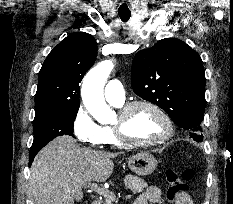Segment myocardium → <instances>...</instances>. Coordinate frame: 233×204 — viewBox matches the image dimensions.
<instances>
[{
    "instance_id": "f54148a6",
    "label": "myocardium",
    "mask_w": 233,
    "mask_h": 204,
    "mask_svg": "<svg viewBox=\"0 0 233 204\" xmlns=\"http://www.w3.org/2000/svg\"><path fill=\"white\" fill-rule=\"evenodd\" d=\"M138 107H146L153 110L163 120L166 126L165 134L157 140L152 141H138L131 139L125 132V125L129 115ZM117 121L112 125V129L118 141L122 145L137 146V147H151L161 145L173 136L174 127L169 115L156 103L148 100H134L130 101L119 108Z\"/></svg>"
}]
</instances>
